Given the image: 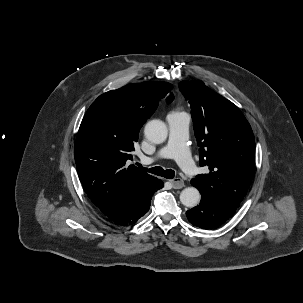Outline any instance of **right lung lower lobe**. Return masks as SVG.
I'll return each mask as SVG.
<instances>
[{"label":"right lung lower lobe","instance_id":"98d812e1","mask_svg":"<svg viewBox=\"0 0 303 303\" xmlns=\"http://www.w3.org/2000/svg\"><path fill=\"white\" fill-rule=\"evenodd\" d=\"M164 186L160 179L138 192L134 198L121 205L115 212L108 215L110 221L118 226H129L136 223L149 210L153 193Z\"/></svg>","mask_w":303,"mask_h":303}]
</instances>
